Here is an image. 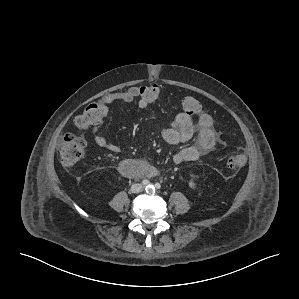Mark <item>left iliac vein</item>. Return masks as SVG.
<instances>
[{"label":"left iliac vein","mask_w":299,"mask_h":299,"mask_svg":"<svg viewBox=\"0 0 299 299\" xmlns=\"http://www.w3.org/2000/svg\"><path fill=\"white\" fill-rule=\"evenodd\" d=\"M147 188H148L149 190H152V186H151V185L147 186Z\"/></svg>","instance_id":"obj_1"}]
</instances>
